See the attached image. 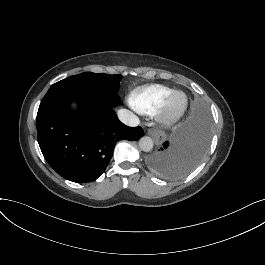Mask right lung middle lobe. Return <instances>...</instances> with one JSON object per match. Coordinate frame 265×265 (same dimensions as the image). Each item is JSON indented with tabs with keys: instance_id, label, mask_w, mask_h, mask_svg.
Here are the masks:
<instances>
[{
	"instance_id": "right-lung-middle-lobe-1",
	"label": "right lung middle lobe",
	"mask_w": 265,
	"mask_h": 265,
	"mask_svg": "<svg viewBox=\"0 0 265 265\" xmlns=\"http://www.w3.org/2000/svg\"><path fill=\"white\" fill-rule=\"evenodd\" d=\"M120 80V75L82 73L53 84L43 99L57 94H67L96 105L115 107L121 103L117 95Z\"/></svg>"
}]
</instances>
